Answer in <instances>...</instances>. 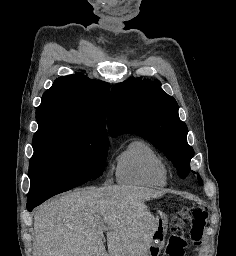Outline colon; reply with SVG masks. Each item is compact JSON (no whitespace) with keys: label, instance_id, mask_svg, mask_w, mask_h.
<instances>
[{"label":"colon","instance_id":"5ec220e1","mask_svg":"<svg viewBox=\"0 0 236 256\" xmlns=\"http://www.w3.org/2000/svg\"><path fill=\"white\" fill-rule=\"evenodd\" d=\"M207 218V210L202 204L196 203L183 208L179 218L174 221L173 230L169 236L164 256H185L188 242L181 230L179 221H190L189 236L194 247L198 249L202 243Z\"/></svg>","mask_w":236,"mask_h":256}]
</instances>
